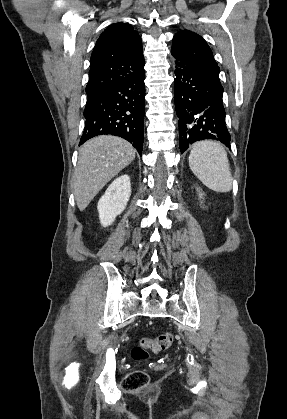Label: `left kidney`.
Listing matches in <instances>:
<instances>
[{
    "label": "left kidney",
    "mask_w": 287,
    "mask_h": 419,
    "mask_svg": "<svg viewBox=\"0 0 287 419\" xmlns=\"http://www.w3.org/2000/svg\"><path fill=\"white\" fill-rule=\"evenodd\" d=\"M202 195H203V194H201V193L199 194V196H200V197H202Z\"/></svg>",
    "instance_id": "left-kidney-1"
}]
</instances>
